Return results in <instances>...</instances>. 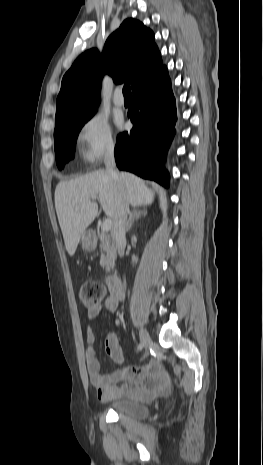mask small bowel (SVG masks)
<instances>
[{"label": "small bowel", "mask_w": 263, "mask_h": 465, "mask_svg": "<svg viewBox=\"0 0 263 465\" xmlns=\"http://www.w3.org/2000/svg\"><path fill=\"white\" fill-rule=\"evenodd\" d=\"M119 299L112 293L108 294L102 304L88 309L89 319H95L102 310L114 312ZM86 342V365L90 383L96 388L101 401L124 396L149 399L168 389V376L156 361L141 366H123V353L115 334H110L105 339V350L117 365L116 369L108 374L101 372V364L93 349L95 333L91 327L86 330Z\"/></svg>", "instance_id": "1"}]
</instances>
